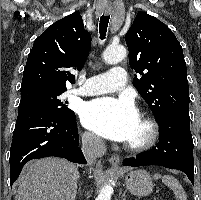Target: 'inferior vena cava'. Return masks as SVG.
I'll use <instances>...</instances> for the list:
<instances>
[{
  "instance_id": "obj_1",
  "label": "inferior vena cava",
  "mask_w": 201,
  "mask_h": 200,
  "mask_svg": "<svg viewBox=\"0 0 201 200\" xmlns=\"http://www.w3.org/2000/svg\"><path fill=\"white\" fill-rule=\"evenodd\" d=\"M82 149L88 161L92 162L105 153V144L100 137L86 133L82 135Z\"/></svg>"
}]
</instances>
